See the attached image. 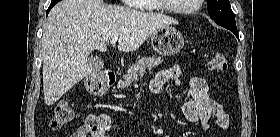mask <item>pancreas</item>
Here are the masks:
<instances>
[{"mask_svg":"<svg viewBox=\"0 0 280 137\" xmlns=\"http://www.w3.org/2000/svg\"><path fill=\"white\" fill-rule=\"evenodd\" d=\"M162 63L160 57H143L138 60L137 63L131 65L122 79L118 81V89L128 88L133 81L138 80L145 73H151V71Z\"/></svg>","mask_w":280,"mask_h":137,"instance_id":"obj_1","label":"pancreas"}]
</instances>
